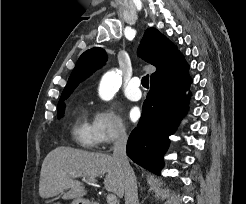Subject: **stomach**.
<instances>
[{"label": "stomach", "mask_w": 246, "mask_h": 204, "mask_svg": "<svg viewBox=\"0 0 246 204\" xmlns=\"http://www.w3.org/2000/svg\"><path fill=\"white\" fill-rule=\"evenodd\" d=\"M71 204H91L89 200L85 198L74 199Z\"/></svg>", "instance_id": "0dacf381"}]
</instances>
